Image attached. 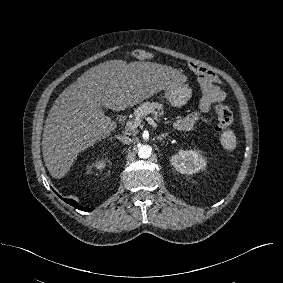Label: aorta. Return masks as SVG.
Wrapping results in <instances>:
<instances>
[{
    "label": "aorta",
    "instance_id": "762f6f07",
    "mask_svg": "<svg viewBox=\"0 0 283 283\" xmlns=\"http://www.w3.org/2000/svg\"><path fill=\"white\" fill-rule=\"evenodd\" d=\"M152 154V147L150 145H141L138 149V156L147 159Z\"/></svg>",
    "mask_w": 283,
    "mask_h": 283
}]
</instances>
